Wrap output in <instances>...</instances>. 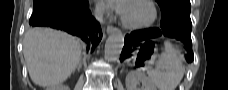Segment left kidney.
Segmentation results:
<instances>
[{
	"label": "left kidney",
	"instance_id": "1",
	"mask_svg": "<svg viewBox=\"0 0 228 90\" xmlns=\"http://www.w3.org/2000/svg\"><path fill=\"white\" fill-rule=\"evenodd\" d=\"M138 82H142L144 90H157L150 80L144 74L138 71H131L126 76L127 90H139L137 88Z\"/></svg>",
	"mask_w": 228,
	"mask_h": 90
}]
</instances>
